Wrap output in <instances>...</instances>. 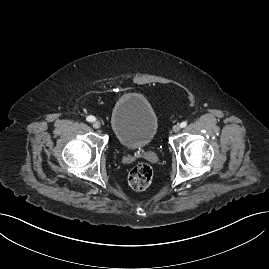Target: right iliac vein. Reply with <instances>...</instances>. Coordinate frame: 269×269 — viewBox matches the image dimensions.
Masks as SVG:
<instances>
[{
	"instance_id": "63e3f726",
	"label": "right iliac vein",
	"mask_w": 269,
	"mask_h": 269,
	"mask_svg": "<svg viewBox=\"0 0 269 269\" xmlns=\"http://www.w3.org/2000/svg\"><path fill=\"white\" fill-rule=\"evenodd\" d=\"M93 127H94L95 129H99V128L101 127V123H100L99 121H94V122H93Z\"/></svg>"
}]
</instances>
